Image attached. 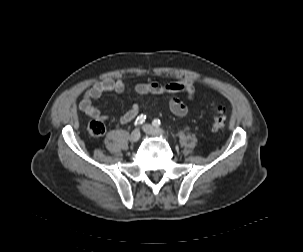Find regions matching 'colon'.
Returning a JSON list of instances; mask_svg holds the SVG:
<instances>
[{
	"label": "colon",
	"mask_w": 303,
	"mask_h": 252,
	"mask_svg": "<svg viewBox=\"0 0 303 252\" xmlns=\"http://www.w3.org/2000/svg\"><path fill=\"white\" fill-rule=\"evenodd\" d=\"M214 130H221L225 126V116L224 110L222 108H218L217 112L213 118L212 123ZM89 133L91 136L98 137L105 133V125L100 120H94L89 124Z\"/></svg>",
	"instance_id": "obj_1"
}]
</instances>
